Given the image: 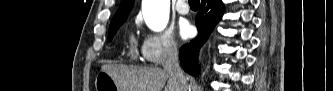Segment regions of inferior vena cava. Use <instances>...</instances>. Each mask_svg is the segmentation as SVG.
I'll list each match as a JSON object with an SVG mask.
<instances>
[{
	"instance_id": "inferior-vena-cava-1",
	"label": "inferior vena cava",
	"mask_w": 333,
	"mask_h": 91,
	"mask_svg": "<svg viewBox=\"0 0 333 91\" xmlns=\"http://www.w3.org/2000/svg\"><path fill=\"white\" fill-rule=\"evenodd\" d=\"M163 68L169 74L170 79L177 81L179 91H187L186 77L179 66L178 50L175 43L171 44L166 50Z\"/></svg>"
}]
</instances>
